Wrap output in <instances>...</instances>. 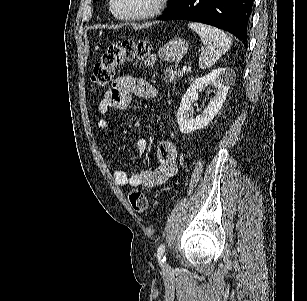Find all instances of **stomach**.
<instances>
[{"label":"stomach","instance_id":"1","mask_svg":"<svg viewBox=\"0 0 307 301\" xmlns=\"http://www.w3.org/2000/svg\"><path fill=\"white\" fill-rule=\"evenodd\" d=\"M189 48V42L186 38H172L163 46H160L158 50V56L161 60H167V62H176V60H181L184 54H186Z\"/></svg>","mask_w":307,"mask_h":301}]
</instances>
